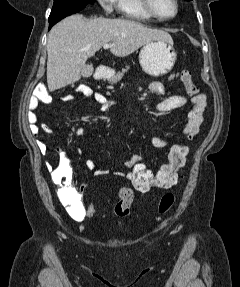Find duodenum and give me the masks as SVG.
<instances>
[{
  "instance_id": "duodenum-1",
  "label": "duodenum",
  "mask_w": 240,
  "mask_h": 287,
  "mask_svg": "<svg viewBox=\"0 0 240 287\" xmlns=\"http://www.w3.org/2000/svg\"><path fill=\"white\" fill-rule=\"evenodd\" d=\"M109 75V68L106 65H99L95 72V79L101 80Z\"/></svg>"
}]
</instances>
